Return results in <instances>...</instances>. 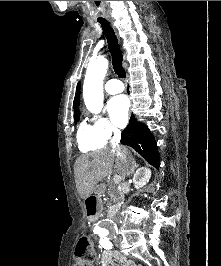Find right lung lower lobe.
Returning <instances> with one entry per match:
<instances>
[{
	"mask_svg": "<svg viewBox=\"0 0 221 266\" xmlns=\"http://www.w3.org/2000/svg\"><path fill=\"white\" fill-rule=\"evenodd\" d=\"M121 143L134 148L149 164L158 168L160 165L156 141L150 130L143 123L131 116L129 125L122 131Z\"/></svg>",
	"mask_w": 221,
	"mask_h": 266,
	"instance_id": "right-lung-lower-lobe-1",
	"label": "right lung lower lobe"
}]
</instances>
